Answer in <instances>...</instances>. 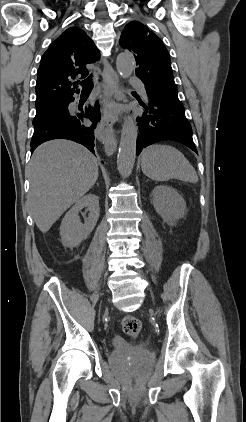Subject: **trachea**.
<instances>
[{
  "mask_svg": "<svg viewBox=\"0 0 246 422\" xmlns=\"http://www.w3.org/2000/svg\"><path fill=\"white\" fill-rule=\"evenodd\" d=\"M76 84H80L83 87V90H91L93 88L92 75H90L84 81L76 82Z\"/></svg>",
  "mask_w": 246,
  "mask_h": 422,
  "instance_id": "trachea-1",
  "label": "trachea"
}]
</instances>
